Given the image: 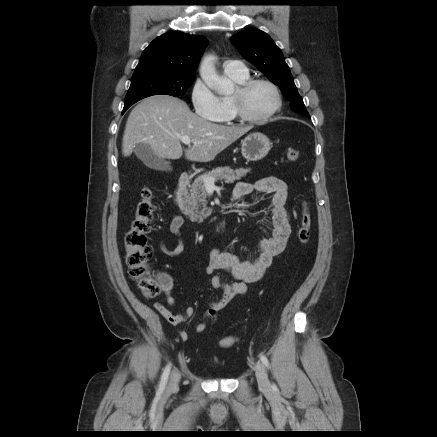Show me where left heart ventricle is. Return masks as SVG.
Listing matches in <instances>:
<instances>
[{
    "mask_svg": "<svg viewBox=\"0 0 437 437\" xmlns=\"http://www.w3.org/2000/svg\"><path fill=\"white\" fill-rule=\"evenodd\" d=\"M245 109L254 117L266 115L275 104V96L272 89L264 84L255 85L245 97Z\"/></svg>",
    "mask_w": 437,
    "mask_h": 437,
    "instance_id": "obj_1",
    "label": "left heart ventricle"
}]
</instances>
